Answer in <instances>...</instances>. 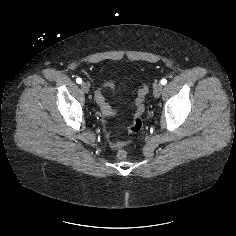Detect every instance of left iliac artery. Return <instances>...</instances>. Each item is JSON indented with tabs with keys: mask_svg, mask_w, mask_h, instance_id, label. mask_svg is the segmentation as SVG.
<instances>
[{
	"mask_svg": "<svg viewBox=\"0 0 236 236\" xmlns=\"http://www.w3.org/2000/svg\"><path fill=\"white\" fill-rule=\"evenodd\" d=\"M160 83H161L162 85H165V84L167 83V80H166L165 78H163V79L160 81Z\"/></svg>",
	"mask_w": 236,
	"mask_h": 236,
	"instance_id": "44dca946",
	"label": "left iliac artery"
}]
</instances>
